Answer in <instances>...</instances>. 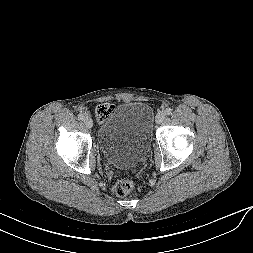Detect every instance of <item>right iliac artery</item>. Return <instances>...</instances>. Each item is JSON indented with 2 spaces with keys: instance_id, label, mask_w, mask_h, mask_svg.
<instances>
[{
  "instance_id": "right-iliac-artery-1",
  "label": "right iliac artery",
  "mask_w": 253,
  "mask_h": 253,
  "mask_svg": "<svg viewBox=\"0 0 253 253\" xmlns=\"http://www.w3.org/2000/svg\"><path fill=\"white\" fill-rule=\"evenodd\" d=\"M78 119H79V120H84V119H85L84 114L80 113V114L78 115Z\"/></svg>"
}]
</instances>
